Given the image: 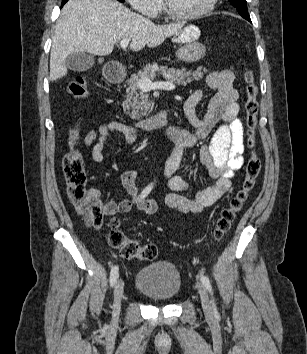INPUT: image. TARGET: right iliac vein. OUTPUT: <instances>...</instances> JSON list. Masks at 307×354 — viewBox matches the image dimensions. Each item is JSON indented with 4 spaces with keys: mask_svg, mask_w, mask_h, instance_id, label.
<instances>
[{
    "mask_svg": "<svg viewBox=\"0 0 307 354\" xmlns=\"http://www.w3.org/2000/svg\"><path fill=\"white\" fill-rule=\"evenodd\" d=\"M123 291H124V283L121 279H118L116 281L115 290H114V302H113V312H112V316L114 319H117L119 317Z\"/></svg>",
    "mask_w": 307,
    "mask_h": 354,
    "instance_id": "63e3f726",
    "label": "right iliac vein"
}]
</instances>
